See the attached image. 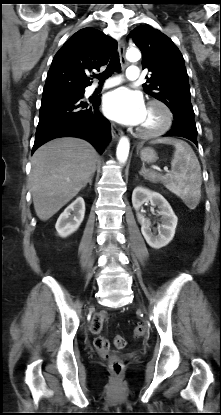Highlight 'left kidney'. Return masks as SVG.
Masks as SVG:
<instances>
[{
	"label": "left kidney",
	"instance_id": "obj_1",
	"mask_svg": "<svg viewBox=\"0 0 221 415\" xmlns=\"http://www.w3.org/2000/svg\"><path fill=\"white\" fill-rule=\"evenodd\" d=\"M148 201H150L152 206H157L159 209L158 215L161 216V225L158 227V235L151 231L150 220L139 212L142 205ZM132 204L137 212V219L141 224V232L149 246L160 249L169 244L174 237L178 218L168 201L158 192L137 187L132 193Z\"/></svg>",
	"mask_w": 221,
	"mask_h": 415
}]
</instances>
